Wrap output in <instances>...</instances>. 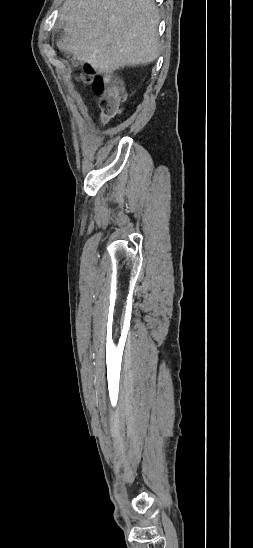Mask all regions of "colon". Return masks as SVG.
<instances>
[{"mask_svg":"<svg viewBox=\"0 0 253 548\" xmlns=\"http://www.w3.org/2000/svg\"><path fill=\"white\" fill-rule=\"evenodd\" d=\"M80 79L92 84L93 90L98 95L103 119L113 117L119 112L120 104L125 99V91L120 79L108 75H96L89 65L84 66V73Z\"/></svg>","mask_w":253,"mask_h":548,"instance_id":"obj_1","label":"colon"}]
</instances>
